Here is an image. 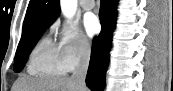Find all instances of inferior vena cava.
<instances>
[{
  "label": "inferior vena cava",
  "mask_w": 173,
  "mask_h": 91,
  "mask_svg": "<svg viewBox=\"0 0 173 91\" xmlns=\"http://www.w3.org/2000/svg\"><path fill=\"white\" fill-rule=\"evenodd\" d=\"M90 53L91 49L89 44H85L80 48V59L71 76V79L78 84L81 91L86 90L85 79L89 66Z\"/></svg>",
  "instance_id": "inferior-vena-cava-1"
}]
</instances>
